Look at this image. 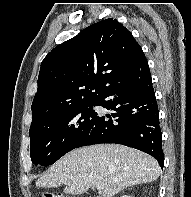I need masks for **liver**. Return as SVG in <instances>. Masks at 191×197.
Instances as JSON below:
<instances>
[{
  "label": "liver",
  "mask_w": 191,
  "mask_h": 197,
  "mask_svg": "<svg viewBox=\"0 0 191 197\" xmlns=\"http://www.w3.org/2000/svg\"><path fill=\"white\" fill-rule=\"evenodd\" d=\"M160 174L157 160L144 152L119 144H98L64 155L40 176L36 187L64 184V193L79 195L103 183L101 197H113L127 187L153 182Z\"/></svg>",
  "instance_id": "1"
}]
</instances>
